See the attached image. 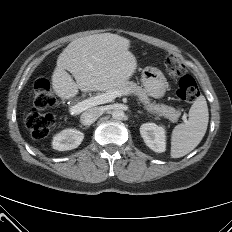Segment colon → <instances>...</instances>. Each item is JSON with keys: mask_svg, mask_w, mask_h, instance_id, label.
Wrapping results in <instances>:
<instances>
[{"mask_svg": "<svg viewBox=\"0 0 232 232\" xmlns=\"http://www.w3.org/2000/svg\"><path fill=\"white\" fill-rule=\"evenodd\" d=\"M166 73L170 77H180L177 97L185 102H194L200 95L195 79L186 74L185 64L178 57L167 54L163 60ZM34 108L25 119V126L35 139L45 138L55 126V119L51 114L42 113L46 108L56 104V98L46 79H38L33 86Z\"/></svg>", "mask_w": 232, "mask_h": 232, "instance_id": "obj_1", "label": "colon"}]
</instances>
